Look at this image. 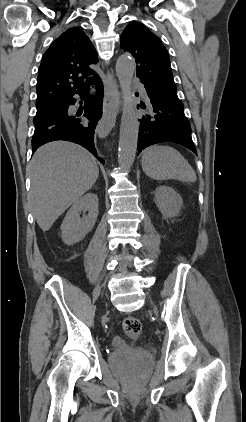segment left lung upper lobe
I'll return each mask as SVG.
<instances>
[{
    "instance_id": "left-lung-upper-lobe-1",
    "label": "left lung upper lobe",
    "mask_w": 246,
    "mask_h": 422,
    "mask_svg": "<svg viewBox=\"0 0 246 422\" xmlns=\"http://www.w3.org/2000/svg\"><path fill=\"white\" fill-rule=\"evenodd\" d=\"M122 49L130 52L136 60V74L145 86L176 103L177 96L168 52L160 39L138 22L127 25L120 39Z\"/></svg>"
}]
</instances>
